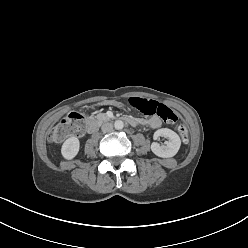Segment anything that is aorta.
Instances as JSON below:
<instances>
[{"mask_svg": "<svg viewBox=\"0 0 248 248\" xmlns=\"http://www.w3.org/2000/svg\"><path fill=\"white\" fill-rule=\"evenodd\" d=\"M114 127L117 130H121L124 127V122L122 120H116L114 123Z\"/></svg>", "mask_w": 248, "mask_h": 248, "instance_id": "1", "label": "aorta"}]
</instances>
